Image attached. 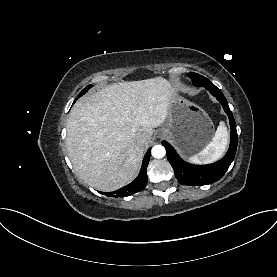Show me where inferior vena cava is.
Here are the masks:
<instances>
[{"label": "inferior vena cava", "instance_id": "602c4592", "mask_svg": "<svg viewBox=\"0 0 277 277\" xmlns=\"http://www.w3.org/2000/svg\"><path fill=\"white\" fill-rule=\"evenodd\" d=\"M135 141L140 145H144L148 142V136L144 132H138L135 135Z\"/></svg>", "mask_w": 277, "mask_h": 277}]
</instances>
